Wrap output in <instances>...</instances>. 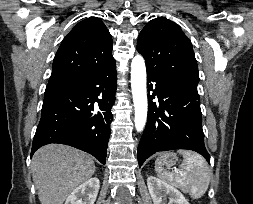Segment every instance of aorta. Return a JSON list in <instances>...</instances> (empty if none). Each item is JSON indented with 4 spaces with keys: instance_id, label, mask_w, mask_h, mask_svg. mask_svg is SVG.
<instances>
[{
    "instance_id": "obj_1",
    "label": "aorta",
    "mask_w": 253,
    "mask_h": 204,
    "mask_svg": "<svg viewBox=\"0 0 253 204\" xmlns=\"http://www.w3.org/2000/svg\"><path fill=\"white\" fill-rule=\"evenodd\" d=\"M131 88L135 108V128L142 131L147 119L146 67L141 55H136L131 62Z\"/></svg>"
}]
</instances>
